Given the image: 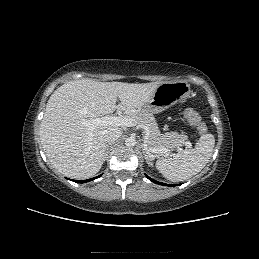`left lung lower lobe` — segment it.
<instances>
[{"mask_svg": "<svg viewBox=\"0 0 259 259\" xmlns=\"http://www.w3.org/2000/svg\"><path fill=\"white\" fill-rule=\"evenodd\" d=\"M146 177H147L151 182H154V183H156V184L165 185V186H171V185H168V184H165V183L158 182V181H156V180H154V179H151V178L148 177L147 175H146ZM172 186H173V185H172Z\"/></svg>", "mask_w": 259, "mask_h": 259, "instance_id": "0a47b994", "label": "left lung lower lobe"}]
</instances>
